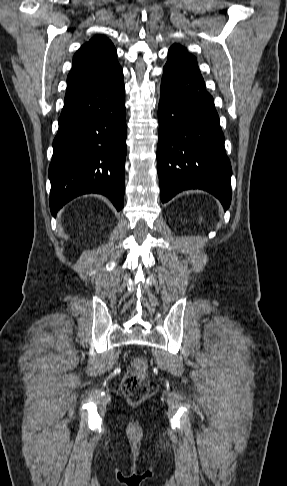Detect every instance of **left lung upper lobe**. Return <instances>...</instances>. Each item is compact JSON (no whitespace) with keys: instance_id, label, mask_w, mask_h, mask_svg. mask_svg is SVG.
Wrapping results in <instances>:
<instances>
[{"instance_id":"1","label":"left lung upper lobe","mask_w":287,"mask_h":486,"mask_svg":"<svg viewBox=\"0 0 287 486\" xmlns=\"http://www.w3.org/2000/svg\"><path fill=\"white\" fill-rule=\"evenodd\" d=\"M168 56L200 74L196 58L189 54L185 47L178 44L172 45L169 49Z\"/></svg>"}]
</instances>
